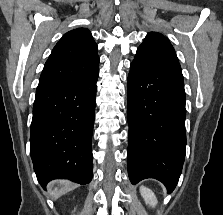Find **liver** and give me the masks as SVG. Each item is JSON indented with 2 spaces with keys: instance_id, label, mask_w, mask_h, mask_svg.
<instances>
[{
  "instance_id": "6515ba94",
  "label": "liver",
  "mask_w": 223,
  "mask_h": 215,
  "mask_svg": "<svg viewBox=\"0 0 223 215\" xmlns=\"http://www.w3.org/2000/svg\"><path fill=\"white\" fill-rule=\"evenodd\" d=\"M61 183H66V181H61Z\"/></svg>"
}]
</instances>
